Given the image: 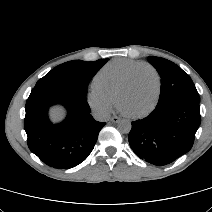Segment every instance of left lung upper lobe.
I'll list each match as a JSON object with an SVG mask.
<instances>
[{
	"label": "left lung upper lobe",
	"instance_id": "5c2ea615",
	"mask_svg": "<svg viewBox=\"0 0 212 212\" xmlns=\"http://www.w3.org/2000/svg\"><path fill=\"white\" fill-rule=\"evenodd\" d=\"M148 61L161 76V91L158 104L175 98H185L200 102L199 94L191 78L173 62L160 58L148 57Z\"/></svg>",
	"mask_w": 212,
	"mask_h": 212
}]
</instances>
